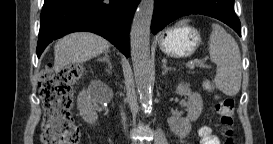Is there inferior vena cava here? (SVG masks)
Wrapping results in <instances>:
<instances>
[{
    "label": "inferior vena cava",
    "instance_id": "obj_1",
    "mask_svg": "<svg viewBox=\"0 0 273 144\" xmlns=\"http://www.w3.org/2000/svg\"><path fill=\"white\" fill-rule=\"evenodd\" d=\"M121 117H122V122L125 125L126 117H125V114L123 112H121Z\"/></svg>",
    "mask_w": 273,
    "mask_h": 144
}]
</instances>
